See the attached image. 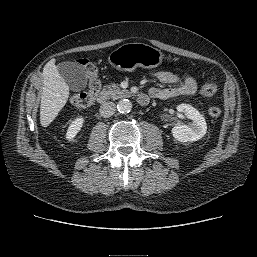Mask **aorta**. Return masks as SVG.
Listing matches in <instances>:
<instances>
[{
  "instance_id": "762f6f07",
  "label": "aorta",
  "mask_w": 257,
  "mask_h": 257,
  "mask_svg": "<svg viewBox=\"0 0 257 257\" xmlns=\"http://www.w3.org/2000/svg\"><path fill=\"white\" fill-rule=\"evenodd\" d=\"M117 109L122 114L129 113L132 109V103L128 99H122L118 102Z\"/></svg>"
}]
</instances>
